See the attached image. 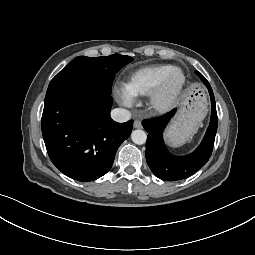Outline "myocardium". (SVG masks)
Returning a JSON list of instances; mask_svg holds the SVG:
<instances>
[{
	"label": "myocardium",
	"mask_w": 255,
	"mask_h": 255,
	"mask_svg": "<svg viewBox=\"0 0 255 255\" xmlns=\"http://www.w3.org/2000/svg\"><path fill=\"white\" fill-rule=\"evenodd\" d=\"M185 84L186 75L180 68H175L151 93V107L160 113L170 110L176 103Z\"/></svg>",
	"instance_id": "obj_1"
}]
</instances>
